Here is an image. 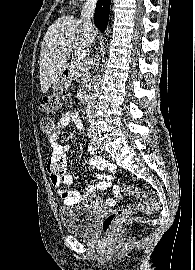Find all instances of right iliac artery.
<instances>
[{
    "label": "right iliac artery",
    "mask_w": 195,
    "mask_h": 270,
    "mask_svg": "<svg viewBox=\"0 0 195 270\" xmlns=\"http://www.w3.org/2000/svg\"><path fill=\"white\" fill-rule=\"evenodd\" d=\"M87 131H88V132H87V136H88L90 139H92V135H93V129H92V127H89Z\"/></svg>",
    "instance_id": "82829eb1"
}]
</instances>
